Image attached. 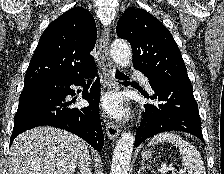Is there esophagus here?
Returning a JSON list of instances; mask_svg holds the SVG:
<instances>
[{
    "label": "esophagus",
    "instance_id": "esophagus-1",
    "mask_svg": "<svg viewBox=\"0 0 224 174\" xmlns=\"http://www.w3.org/2000/svg\"><path fill=\"white\" fill-rule=\"evenodd\" d=\"M111 28H105L102 31L101 37L99 39V55L101 58V63L104 68L105 72V78H106V84L108 87V90L110 91H118L120 89V86L115 79V72L116 67L113 63L110 54H109V34H110ZM106 131L107 135L111 140L117 139L120 133V129L118 125H116L114 122L107 120L106 122Z\"/></svg>",
    "mask_w": 224,
    "mask_h": 174
}]
</instances>
